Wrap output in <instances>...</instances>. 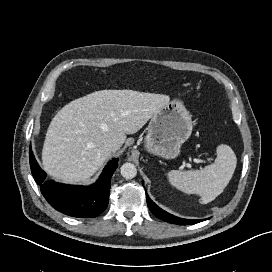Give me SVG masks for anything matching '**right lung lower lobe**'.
Here are the masks:
<instances>
[{"instance_id":"obj_1","label":"right lung lower lobe","mask_w":272,"mask_h":272,"mask_svg":"<svg viewBox=\"0 0 272 272\" xmlns=\"http://www.w3.org/2000/svg\"><path fill=\"white\" fill-rule=\"evenodd\" d=\"M32 175L40 185L48 203L56 210L78 218H92L101 214L108 205L111 177L118 166L112 159L104 168L99 179L90 186H74L46 179V173L37 164L32 150L29 151Z\"/></svg>"}]
</instances>
